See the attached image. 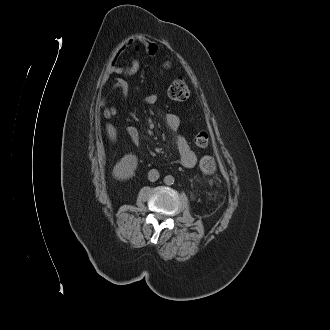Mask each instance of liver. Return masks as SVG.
<instances>
[{
	"label": "liver",
	"mask_w": 330,
	"mask_h": 330,
	"mask_svg": "<svg viewBox=\"0 0 330 330\" xmlns=\"http://www.w3.org/2000/svg\"><path fill=\"white\" fill-rule=\"evenodd\" d=\"M106 128H107L109 137L112 140H115V138H116V129L114 128V126H112L111 124H107Z\"/></svg>",
	"instance_id": "1"
}]
</instances>
